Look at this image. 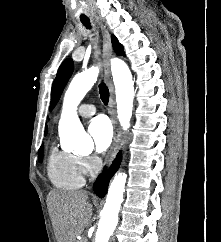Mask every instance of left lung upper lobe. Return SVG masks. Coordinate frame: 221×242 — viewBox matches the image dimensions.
Returning a JSON list of instances; mask_svg holds the SVG:
<instances>
[{"mask_svg": "<svg viewBox=\"0 0 221 242\" xmlns=\"http://www.w3.org/2000/svg\"><path fill=\"white\" fill-rule=\"evenodd\" d=\"M111 41L115 52L118 55H124L123 47L118 42L117 38L114 35L111 36ZM73 69H74V63L70 58L66 59L60 66L57 76L52 85V99H51L50 110H52L56 105V103L58 102L61 96V93L73 72Z\"/></svg>", "mask_w": 221, "mask_h": 242, "instance_id": "5c2ea615", "label": "left lung upper lobe"}]
</instances>
